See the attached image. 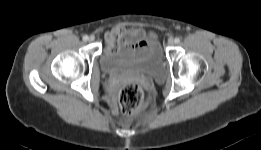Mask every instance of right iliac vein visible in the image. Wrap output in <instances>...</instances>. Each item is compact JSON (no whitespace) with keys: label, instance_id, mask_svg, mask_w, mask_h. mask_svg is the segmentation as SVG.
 I'll return each mask as SVG.
<instances>
[{"label":"right iliac vein","instance_id":"1","mask_svg":"<svg viewBox=\"0 0 261 150\" xmlns=\"http://www.w3.org/2000/svg\"><path fill=\"white\" fill-rule=\"evenodd\" d=\"M95 40V36H93V35H91L90 37H89V39H88V41H90V42H92V41H94Z\"/></svg>","mask_w":261,"mask_h":150}]
</instances>
